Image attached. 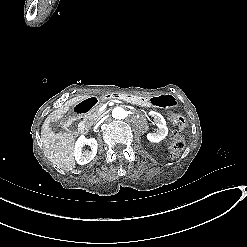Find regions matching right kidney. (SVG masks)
<instances>
[{"instance_id": "obj_1", "label": "right kidney", "mask_w": 247, "mask_h": 247, "mask_svg": "<svg viewBox=\"0 0 247 247\" xmlns=\"http://www.w3.org/2000/svg\"><path fill=\"white\" fill-rule=\"evenodd\" d=\"M85 145H89L91 150H85ZM98 150V143L94 137L87 138L81 136L76 144L75 157L78 164L83 165L91 162Z\"/></svg>"}]
</instances>
